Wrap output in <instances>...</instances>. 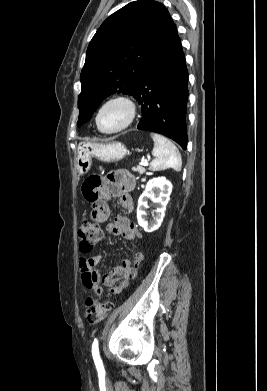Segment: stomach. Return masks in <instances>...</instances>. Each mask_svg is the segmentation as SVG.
Segmentation results:
<instances>
[{
  "mask_svg": "<svg viewBox=\"0 0 267 391\" xmlns=\"http://www.w3.org/2000/svg\"><path fill=\"white\" fill-rule=\"evenodd\" d=\"M126 155L127 148L119 141L81 142L76 151V169L80 175H83L90 170L93 157L103 162H115L122 160Z\"/></svg>",
  "mask_w": 267,
  "mask_h": 391,
  "instance_id": "obj_1",
  "label": "stomach"
}]
</instances>
